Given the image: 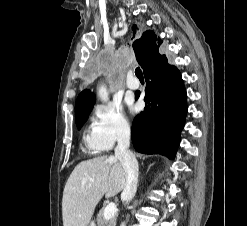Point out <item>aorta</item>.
I'll list each match as a JSON object with an SVG mask.
<instances>
[{
	"mask_svg": "<svg viewBox=\"0 0 247 226\" xmlns=\"http://www.w3.org/2000/svg\"><path fill=\"white\" fill-rule=\"evenodd\" d=\"M98 96L102 102L106 103L109 100L108 92L105 85H101L98 89Z\"/></svg>",
	"mask_w": 247,
	"mask_h": 226,
	"instance_id": "762f6f07",
	"label": "aorta"
}]
</instances>
